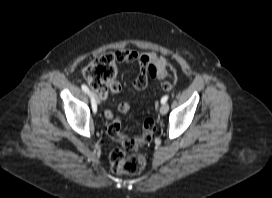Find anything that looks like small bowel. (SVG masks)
I'll use <instances>...</instances> for the list:
<instances>
[{
	"label": "small bowel",
	"instance_id": "small-bowel-1",
	"mask_svg": "<svg viewBox=\"0 0 272 198\" xmlns=\"http://www.w3.org/2000/svg\"><path fill=\"white\" fill-rule=\"evenodd\" d=\"M122 57V62L138 63L140 67L145 70L148 65H153L156 69L155 75L151 78L162 79L168 74L169 61L165 57L158 56L154 53L135 52L127 49H121L117 51ZM135 86V82H134ZM136 87V86H135ZM121 84L118 81H114L111 85V93L117 94L121 91ZM137 88V87H136ZM101 98H104L106 94H99ZM130 110V103L123 101L119 104V111L126 113ZM106 119L113 118V112L109 109L104 111Z\"/></svg>",
	"mask_w": 272,
	"mask_h": 198
}]
</instances>
